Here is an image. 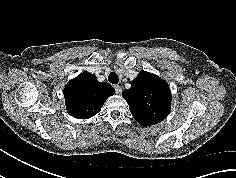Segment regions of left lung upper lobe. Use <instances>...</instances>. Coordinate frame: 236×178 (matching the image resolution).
I'll list each match as a JSON object with an SVG mask.
<instances>
[{
	"mask_svg": "<svg viewBox=\"0 0 236 178\" xmlns=\"http://www.w3.org/2000/svg\"><path fill=\"white\" fill-rule=\"evenodd\" d=\"M122 96L131 114L142 126L155 125L170 113V87L153 73L141 71L132 81L131 88L124 90Z\"/></svg>",
	"mask_w": 236,
	"mask_h": 178,
	"instance_id": "5c2ea615",
	"label": "left lung upper lobe"
}]
</instances>
